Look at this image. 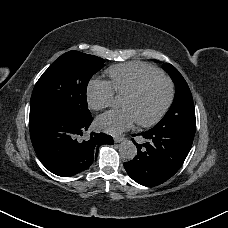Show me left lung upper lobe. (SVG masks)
I'll return each mask as SVG.
<instances>
[{"instance_id":"5c2ea615","label":"left lung upper lobe","mask_w":228,"mask_h":228,"mask_svg":"<svg viewBox=\"0 0 228 228\" xmlns=\"http://www.w3.org/2000/svg\"><path fill=\"white\" fill-rule=\"evenodd\" d=\"M162 67L172 78L176 92L170 109L162 120L153 128L174 131H190L195 133V108L189 86L183 76L171 64L165 63Z\"/></svg>"}]
</instances>
